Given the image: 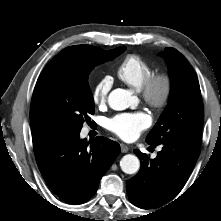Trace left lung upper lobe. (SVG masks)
Masks as SVG:
<instances>
[{"instance_id": "5c2ea615", "label": "left lung upper lobe", "mask_w": 221, "mask_h": 221, "mask_svg": "<svg viewBox=\"0 0 221 221\" xmlns=\"http://www.w3.org/2000/svg\"><path fill=\"white\" fill-rule=\"evenodd\" d=\"M162 54L169 67L170 98L158 122L147 135L146 142L159 145L179 141L199 147L204 112L196 73L174 48H165Z\"/></svg>"}]
</instances>
